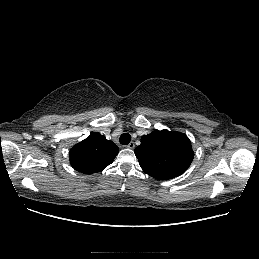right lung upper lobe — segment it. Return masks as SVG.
Instances as JSON below:
<instances>
[{"mask_svg": "<svg viewBox=\"0 0 259 259\" xmlns=\"http://www.w3.org/2000/svg\"><path fill=\"white\" fill-rule=\"evenodd\" d=\"M119 148L100 133H92L70 150L71 166L84 174L102 171L110 165Z\"/></svg>", "mask_w": 259, "mask_h": 259, "instance_id": "right-lung-upper-lobe-1", "label": "right lung upper lobe"}]
</instances>
